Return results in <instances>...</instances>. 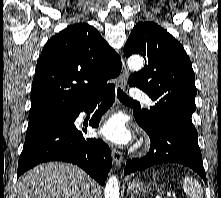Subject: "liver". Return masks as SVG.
Segmentation results:
<instances>
[{"label":"liver","instance_id":"liver-1","mask_svg":"<svg viewBox=\"0 0 221 198\" xmlns=\"http://www.w3.org/2000/svg\"><path fill=\"white\" fill-rule=\"evenodd\" d=\"M91 178L62 162L38 165L20 177L12 198H89Z\"/></svg>","mask_w":221,"mask_h":198}]
</instances>
